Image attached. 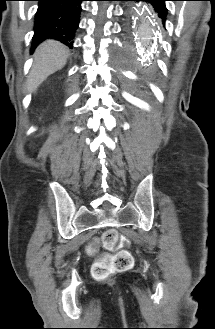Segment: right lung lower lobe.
<instances>
[{
	"label": "right lung lower lobe",
	"instance_id": "obj_1",
	"mask_svg": "<svg viewBox=\"0 0 215 329\" xmlns=\"http://www.w3.org/2000/svg\"><path fill=\"white\" fill-rule=\"evenodd\" d=\"M36 1L39 2V7L35 15L32 47L35 48L50 38L72 47L84 0Z\"/></svg>",
	"mask_w": 215,
	"mask_h": 329
}]
</instances>
